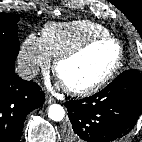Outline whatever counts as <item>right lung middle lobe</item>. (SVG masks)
<instances>
[{
    "label": "right lung middle lobe",
    "instance_id": "1",
    "mask_svg": "<svg viewBox=\"0 0 142 142\" xmlns=\"http://www.w3.org/2000/svg\"><path fill=\"white\" fill-rule=\"evenodd\" d=\"M19 17L13 14L0 13V61L15 65L19 52L17 22Z\"/></svg>",
    "mask_w": 142,
    "mask_h": 142
}]
</instances>
